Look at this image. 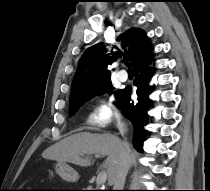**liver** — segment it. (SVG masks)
Listing matches in <instances>:
<instances>
[{
	"label": "liver",
	"mask_w": 210,
	"mask_h": 191,
	"mask_svg": "<svg viewBox=\"0 0 210 191\" xmlns=\"http://www.w3.org/2000/svg\"><path fill=\"white\" fill-rule=\"evenodd\" d=\"M123 149L124 143L112 134L79 132L50 146L42 156L46 159L69 162L82 167L91 166L93 161L90 155L92 154L107 156L101 168L106 169L108 183L111 185L119 167ZM136 157V152L130 149V165L136 163Z\"/></svg>",
	"instance_id": "1"
}]
</instances>
